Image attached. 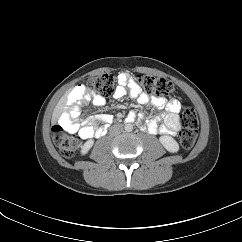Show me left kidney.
<instances>
[{"label":"left kidney","mask_w":242,"mask_h":242,"mask_svg":"<svg viewBox=\"0 0 242 242\" xmlns=\"http://www.w3.org/2000/svg\"><path fill=\"white\" fill-rule=\"evenodd\" d=\"M160 142L164 146V148L169 152L176 153L179 151V145L177 141L171 136H161Z\"/></svg>","instance_id":"obj_1"}]
</instances>
